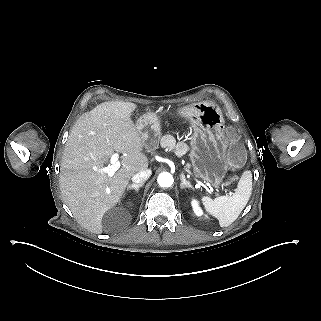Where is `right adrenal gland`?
Masks as SVG:
<instances>
[{
	"label": "right adrenal gland",
	"mask_w": 321,
	"mask_h": 321,
	"mask_svg": "<svg viewBox=\"0 0 321 321\" xmlns=\"http://www.w3.org/2000/svg\"><path fill=\"white\" fill-rule=\"evenodd\" d=\"M143 185L144 183L128 185L127 190H135L136 192H138L139 188L142 187Z\"/></svg>",
	"instance_id": "right-adrenal-gland-1"
}]
</instances>
